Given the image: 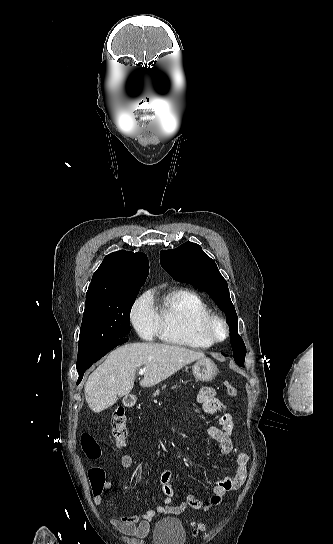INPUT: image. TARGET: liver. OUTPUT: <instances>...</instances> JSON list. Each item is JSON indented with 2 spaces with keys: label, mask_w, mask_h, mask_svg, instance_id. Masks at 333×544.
<instances>
[{
  "label": "liver",
  "mask_w": 333,
  "mask_h": 544,
  "mask_svg": "<svg viewBox=\"0 0 333 544\" xmlns=\"http://www.w3.org/2000/svg\"><path fill=\"white\" fill-rule=\"evenodd\" d=\"M203 358L202 352L169 344L123 345L113 350L88 377L84 388L86 402L93 412L100 413L116 403L119 396L131 392L138 368L146 370L140 385L151 387Z\"/></svg>",
  "instance_id": "1"
}]
</instances>
